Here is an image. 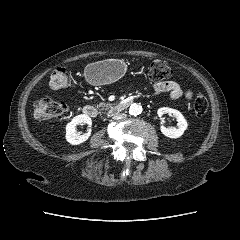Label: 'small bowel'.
Wrapping results in <instances>:
<instances>
[{"instance_id":"1","label":"small bowel","mask_w":240,"mask_h":240,"mask_svg":"<svg viewBox=\"0 0 240 240\" xmlns=\"http://www.w3.org/2000/svg\"><path fill=\"white\" fill-rule=\"evenodd\" d=\"M155 93H168L172 100L185 99L189 101L193 97L191 89L183 90L180 83L175 80L157 81L151 86Z\"/></svg>"}]
</instances>
